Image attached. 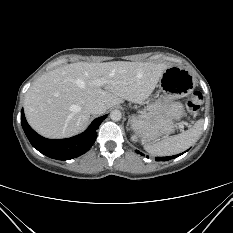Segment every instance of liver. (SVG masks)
<instances>
[{"instance_id":"1","label":"liver","mask_w":233,"mask_h":233,"mask_svg":"<svg viewBox=\"0 0 233 233\" xmlns=\"http://www.w3.org/2000/svg\"><path fill=\"white\" fill-rule=\"evenodd\" d=\"M167 64L77 62L56 68L31 85L24 100L29 125L47 138H67L88 125L89 101L111 108L123 100L142 103L154 91ZM101 82L102 85H97Z\"/></svg>"}]
</instances>
